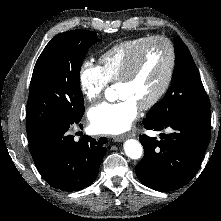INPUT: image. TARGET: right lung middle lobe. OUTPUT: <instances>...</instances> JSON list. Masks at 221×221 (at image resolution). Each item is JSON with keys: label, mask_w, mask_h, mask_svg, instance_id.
Segmentation results:
<instances>
[{"label": "right lung middle lobe", "mask_w": 221, "mask_h": 221, "mask_svg": "<svg viewBox=\"0 0 221 221\" xmlns=\"http://www.w3.org/2000/svg\"><path fill=\"white\" fill-rule=\"evenodd\" d=\"M100 41L92 31L57 34L46 45L33 70L26 109L32 142L50 123L84 113L80 69L89 47Z\"/></svg>", "instance_id": "right-lung-middle-lobe-1"}]
</instances>
